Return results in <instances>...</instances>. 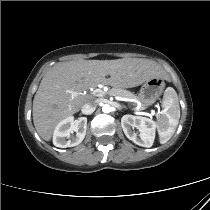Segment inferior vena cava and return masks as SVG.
Masks as SVG:
<instances>
[{
	"instance_id": "obj_1",
	"label": "inferior vena cava",
	"mask_w": 210,
	"mask_h": 210,
	"mask_svg": "<svg viewBox=\"0 0 210 210\" xmlns=\"http://www.w3.org/2000/svg\"><path fill=\"white\" fill-rule=\"evenodd\" d=\"M96 106L97 102L94 100H90L82 106V113L85 115H90L95 111Z\"/></svg>"
}]
</instances>
